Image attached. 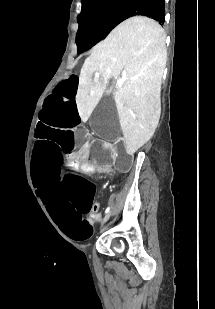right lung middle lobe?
Segmentation results:
<instances>
[{"mask_svg":"<svg viewBox=\"0 0 215 309\" xmlns=\"http://www.w3.org/2000/svg\"><path fill=\"white\" fill-rule=\"evenodd\" d=\"M131 0H82L79 30L76 36L78 53L102 40Z\"/></svg>","mask_w":215,"mask_h":309,"instance_id":"dd1d6c3e","label":"right lung middle lobe"}]
</instances>
